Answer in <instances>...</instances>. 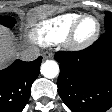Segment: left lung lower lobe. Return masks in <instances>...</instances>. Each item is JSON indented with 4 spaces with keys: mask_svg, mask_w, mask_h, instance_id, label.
I'll use <instances>...</instances> for the list:
<instances>
[{
    "mask_svg": "<svg viewBox=\"0 0 112 112\" xmlns=\"http://www.w3.org/2000/svg\"><path fill=\"white\" fill-rule=\"evenodd\" d=\"M58 93L73 112H105L112 107V29L88 48L59 51Z\"/></svg>",
    "mask_w": 112,
    "mask_h": 112,
    "instance_id": "1",
    "label": "left lung lower lobe"
}]
</instances>
